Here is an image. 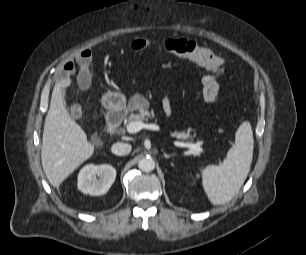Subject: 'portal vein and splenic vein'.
<instances>
[{
    "label": "portal vein and splenic vein",
    "mask_w": 306,
    "mask_h": 255,
    "mask_svg": "<svg viewBox=\"0 0 306 255\" xmlns=\"http://www.w3.org/2000/svg\"><path fill=\"white\" fill-rule=\"evenodd\" d=\"M142 129H149L153 131H159L160 128L156 124H145L142 121H133L127 124L126 130L128 133L133 134L137 133ZM173 144L176 147H187L190 148L193 152L195 153H202L203 149L200 147L199 144H194V143H184V142H179V141H173Z\"/></svg>",
    "instance_id": "1"
}]
</instances>
